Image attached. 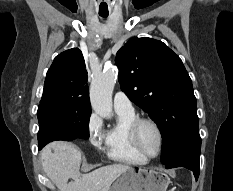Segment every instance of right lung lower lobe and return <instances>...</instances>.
Instances as JSON below:
<instances>
[{"instance_id": "obj_1", "label": "right lung lower lobe", "mask_w": 233, "mask_h": 191, "mask_svg": "<svg viewBox=\"0 0 233 191\" xmlns=\"http://www.w3.org/2000/svg\"><path fill=\"white\" fill-rule=\"evenodd\" d=\"M38 147H39V149H41L43 146H41V145H38Z\"/></svg>"}]
</instances>
